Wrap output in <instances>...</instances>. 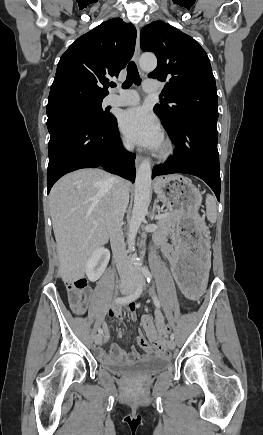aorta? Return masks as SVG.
Wrapping results in <instances>:
<instances>
[{
    "mask_svg": "<svg viewBox=\"0 0 263 435\" xmlns=\"http://www.w3.org/2000/svg\"><path fill=\"white\" fill-rule=\"evenodd\" d=\"M139 64L143 71H152L157 66V59L152 54L142 55ZM150 198L151 165L150 161L145 159L138 167L135 180L134 206L128 231V248L130 251H134L135 238L138 229L147 214Z\"/></svg>",
    "mask_w": 263,
    "mask_h": 435,
    "instance_id": "obj_1",
    "label": "aorta"
}]
</instances>
